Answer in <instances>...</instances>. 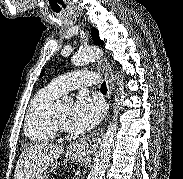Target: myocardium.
Returning a JSON list of instances; mask_svg holds the SVG:
<instances>
[{
	"mask_svg": "<svg viewBox=\"0 0 183 179\" xmlns=\"http://www.w3.org/2000/svg\"><path fill=\"white\" fill-rule=\"evenodd\" d=\"M53 123L57 131L63 132V133L69 132L68 128L60 120L57 110H54Z\"/></svg>",
	"mask_w": 183,
	"mask_h": 179,
	"instance_id": "obj_1",
	"label": "myocardium"
}]
</instances>
